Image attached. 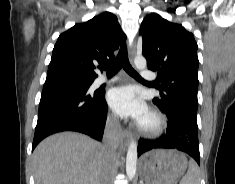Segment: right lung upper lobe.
I'll list each match as a JSON object with an SVG mask.
<instances>
[{"label": "right lung upper lobe", "mask_w": 235, "mask_h": 184, "mask_svg": "<svg viewBox=\"0 0 235 184\" xmlns=\"http://www.w3.org/2000/svg\"><path fill=\"white\" fill-rule=\"evenodd\" d=\"M125 39L115 15L104 12L62 33L53 49L46 81L55 78L94 80L95 70L114 59Z\"/></svg>", "instance_id": "1"}]
</instances>
